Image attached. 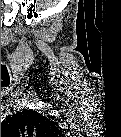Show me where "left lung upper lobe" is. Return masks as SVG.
<instances>
[{"label":"left lung upper lobe","mask_w":121,"mask_h":137,"mask_svg":"<svg viewBox=\"0 0 121 137\" xmlns=\"http://www.w3.org/2000/svg\"><path fill=\"white\" fill-rule=\"evenodd\" d=\"M56 130V124L50 118L33 110H23L9 117L1 124L2 136L49 135Z\"/></svg>","instance_id":"5c2ea615"}]
</instances>
